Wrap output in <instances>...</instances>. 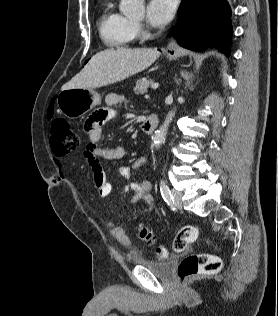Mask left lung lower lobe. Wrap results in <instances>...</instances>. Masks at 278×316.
I'll return each mask as SVG.
<instances>
[{"instance_id": "obj_1", "label": "left lung lower lobe", "mask_w": 278, "mask_h": 316, "mask_svg": "<svg viewBox=\"0 0 278 316\" xmlns=\"http://www.w3.org/2000/svg\"><path fill=\"white\" fill-rule=\"evenodd\" d=\"M174 28L178 44L194 51L214 47L230 53L231 8L227 0H182Z\"/></svg>"}]
</instances>
